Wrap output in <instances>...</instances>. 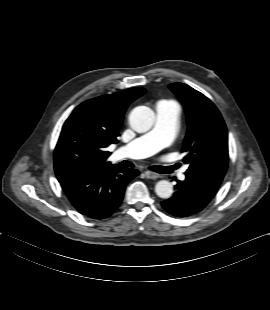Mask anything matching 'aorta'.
I'll return each instance as SVG.
<instances>
[{
    "instance_id": "obj_1",
    "label": "aorta",
    "mask_w": 270,
    "mask_h": 310,
    "mask_svg": "<svg viewBox=\"0 0 270 310\" xmlns=\"http://www.w3.org/2000/svg\"><path fill=\"white\" fill-rule=\"evenodd\" d=\"M153 112L146 106L134 108L129 115L131 128L138 133L149 131L153 125ZM156 194L163 199H168L173 194V186L167 180H160L155 185Z\"/></svg>"
}]
</instances>
